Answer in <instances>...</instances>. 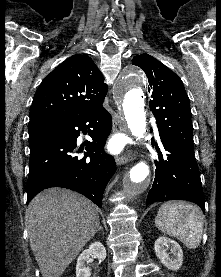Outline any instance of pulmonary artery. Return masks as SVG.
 Here are the masks:
<instances>
[{"label": "pulmonary artery", "instance_id": "1", "mask_svg": "<svg viewBox=\"0 0 221 277\" xmlns=\"http://www.w3.org/2000/svg\"><path fill=\"white\" fill-rule=\"evenodd\" d=\"M155 132H156V133H158V129H157V127H155Z\"/></svg>", "mask_w": 221, "mask_h": 277}]
</instances>
